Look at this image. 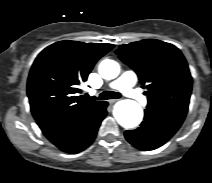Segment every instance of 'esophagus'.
Segmentation results:
<instances>
[{
    "label": "esophagus",
    "instance_id": "34e87169",
    "mask_svg": "<svg viewBox=\"0 0 212 183\" xmlns=\"http://www.w3.org/2000/svg\"><path fill=\"white\" fill-rule=\"evenodd\" d=\"M118 100H119V99H110V100H109V103H110V104H113V103L117 102Z\"/></svg>",
    "mask_w": 212,
    "mask_h": 183
}]
</instances>
